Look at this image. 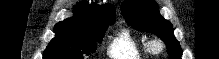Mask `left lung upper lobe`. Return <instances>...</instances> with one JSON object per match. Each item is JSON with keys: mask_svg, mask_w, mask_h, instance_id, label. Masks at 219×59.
I'll use <instances>...</instances> for the list:
<instances>
[{"mask_svg": "<svg viewBox=\"0 0 219 59\" xmlns=\"http://www.w3.org/2000/svg\"><path fill=\"white\" fill-rule=\"evenodd\" d=\"M121 11L131 26L160 37L167 45L170 59H181L182 50L173 35V27L159 14L158 5L154 0H126Z\"/></svg>", "mask_w": 219, "mask_h": 59, "instance_id": "obj_1", "label": "left lung upper lobe"}]
</instances>
